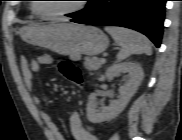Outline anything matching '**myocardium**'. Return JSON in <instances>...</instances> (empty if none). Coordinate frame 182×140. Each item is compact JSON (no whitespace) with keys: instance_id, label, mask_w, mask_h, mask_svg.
Listing matches in <instances>:
<instances>
[{"instance_id":"1","label":"myocardium","mask_w":182,"mask_h":140,"mask_svg":"<svg viewBox=\"0 0 182 140\" xmlns=\"http://www.w3.org/2000/svg\"><path fill=\"white\" fill-rule=\"evenodd\" d=\"M84 7H85V4L83 2H81L76 7L72 8L70 10H67V11L58 12V13H54V14H43L39 11L37 4H34L33 11L39 18L51 20V19H58L61 17H65V16H69L71 14L77 13V12L81 11Z\"/></svg>"}]
</instances>
